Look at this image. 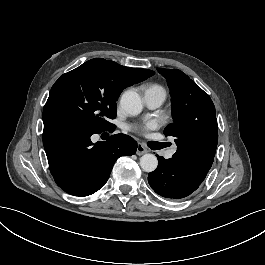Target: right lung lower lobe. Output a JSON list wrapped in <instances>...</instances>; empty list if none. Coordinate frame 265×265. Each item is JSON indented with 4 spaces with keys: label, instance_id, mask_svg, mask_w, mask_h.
I'll return each mask as SVG.
<instances>
[{
    "label": "right lung lower lobe",
    "instance_id": "obj_1",
    "mask_svg": "<svg viewBox=\"0 0 265 265\" xmlns=\"http://www.w3.org/2000/svg\"><path fill=\"white\" fill-rule=\"evenodd\" d=\"M43 145L56 184L73 196H88L107 182L115 161L133 155L137 142L122 133L93 143L94 133L60 117H44Z\"/></svg>",
    "mask_w": 265,
    "mask_h": 265
}]
</instances>
